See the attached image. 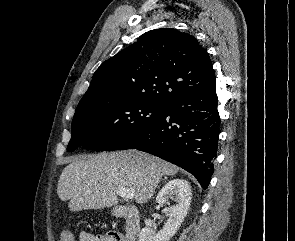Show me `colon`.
<instances>
[{
  "mask_svg": "<svg viewBox=\"0 0 295 241\" xmlns=\"http://www.w3.org/2000/svg\"><path fill=\"white\" fill-rule=\"evenodd\" d=\"M60 241H74V236H73L72 232L69 230H64L61 233Z\"/></svg>",
  "mask_w": 295,
  "mask_h": 241,
  "instance_id": "5ec220e1",
  "label": "colon"
}]
</instances>
